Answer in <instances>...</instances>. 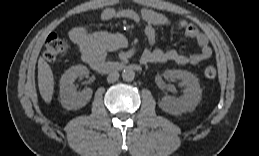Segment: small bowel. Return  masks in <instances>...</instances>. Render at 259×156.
Segmentation results:
<instances>
[{
  "label": "small bowel",
  "instance_id": "small-bowel-1",
  "mask_svg": "<svg viewBox=\"0 0 259 156\" xmlns=\"http://www.w3.org/2000/svg\"><path fill=\"white\" fill-rule=\"evenodd\" d=\"M101 18L104 21L130 19L136 23H145V35L149 47L144 50L141 56V61L144 64L173 62L178 65H195L212 55V49L205 34L187 20H180L177 26L187 38L194 40L198 45V52L190 55L181 54L174 49L161 50L154 46L156 28H169L171 26L170 20L163 14L150 9L136 11L133 9L116 10L112 7H107L102 11ZM69 38L75 44L83 60L89 65L97 61H104L108 52L125 48L128 44L123 34L103 32L90 34L82 26L72 28L69 32Z\"/></svg>",
  "mask_w": 259,
  "mask_h": 156
}]
</instances>
